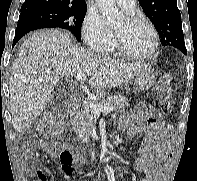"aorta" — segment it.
<instances>
[{"instance_id":"762f6f07","label":"aorta","mask_w":197,"mask_h":181,"mask_svg":"<svg viewBox=\"0 0 197 181\" xmlns=\"http://www.w3.org/2000/svg\"><path fill=\"white\" fill-rule=\"evenodd\" d=\"M108 23L116 24L123 20V15L115 6L114 0H96Z\"/></svg>"}]
</instances>
